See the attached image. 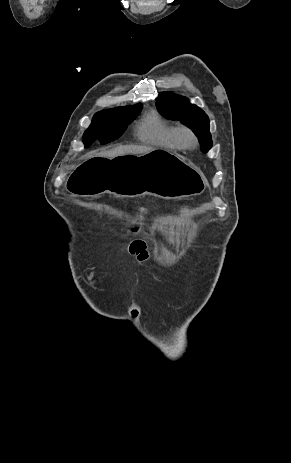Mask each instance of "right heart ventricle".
<instances>
[{"label": "right heart ventricle", "mask_w": 291, "mask_h": 463, "mask_svg": "<svg viewBox=\"0 0 291 463\" xmlns=\"http://www.w3.org/2000/svg\"><path fill=\"white\" fill-rule=\"evenodd\" d=\"M138 138L148 144L164 146L172 149L181 146L176 139V127L156 112L147 113L137 127Z\"/></svg>", "instance_id": "e07e8e85"}]
</instances>
